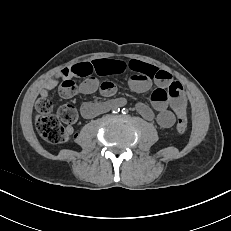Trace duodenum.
Here are the masks:
<instances>
[{
	"instance_id": "duodenum-1",
	"label": "duodenum",
	"mask_w": 231,
	"mask_h": 231,
	"mask_svg": "<svg viewBox=\"0 0 231 231\" xmlns=\"http://www.w3.org/2000/svg\"><path fill=\"white\" fill-rule=\"evenodd\" d=\"M107 105H108V106H114V105H115V103H113V102H109Z\"/></svg>"
}]
</instances>
